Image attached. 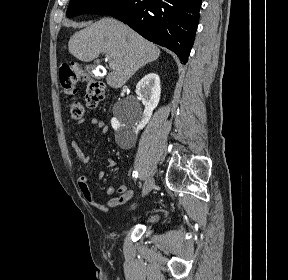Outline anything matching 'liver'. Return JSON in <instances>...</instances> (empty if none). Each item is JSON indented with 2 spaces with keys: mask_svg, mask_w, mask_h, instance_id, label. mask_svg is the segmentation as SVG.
Masks as SVG:
<instances>
[{
  "mask_svg": "<svg viewBox=\"0 0 288 280\" xmlns=\"http://www.w3.org/2000/svg\"><path fill=\"white\" fill-rule=\"evenodd\" d=\"M68 50L84 62L96 59L100 53L109 55L115 66L106 82L115 89L121 88L140 67L160 55L155 44L113 18H102L73 34Z\"/></svg>",
  "mask_w": 288,
  "mask_h": 280,
  "instance_id": "6515ba94",
  "label": "liver"
}]
</instances>
